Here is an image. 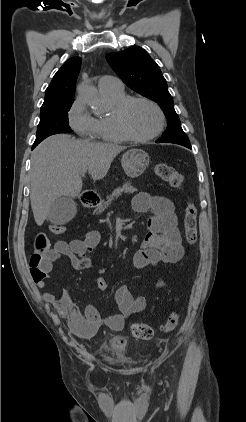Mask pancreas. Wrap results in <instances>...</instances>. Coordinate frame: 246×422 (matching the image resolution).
I'll list each match as a JSON object with an SVG mask.
<instances>
[{
  "label": "pancreas",
  "mask_w": 246,
  "mask_h": 422,
  "mask_svg": "<svg viewBox=\"0 0 246 422\" xmlns=\"http://www.w3.org/2000/svg\"><path fill=\"white\" fill-rule=\"evenodd\" d=\"M137 189L131 186L130 182H126L123 184L122 187L116 188L111 195L106 197V201H104L98 208V212L102 213L105 209H107L113 200L118 198L122 195V193H134Z\"/></svg>",
  "instance_id": "obj_1"
}]
</instances>
